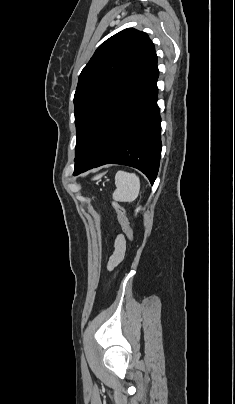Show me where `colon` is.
Here are the masks:
<instances>
[{
	"mask_svg": "<svg viewBox=\"0 0 235 404\" xmlns=\"http://www.w3.org/2000/svg\"><path fill=\"white\" fill-rule=\"evenodd\" d=\"M114 208L117 211V213L121 216V224H122V229H123L124 233L126 234L127 238L132 241L134 234H133V230H132L129 222L124 217V213H125L124 208L118 203H114Z\"/></svg>",
	"mask_w": 235,
	"mask_h": 404,
	"instance_id": "1",
	"label": "colon"
}]
</instances>
